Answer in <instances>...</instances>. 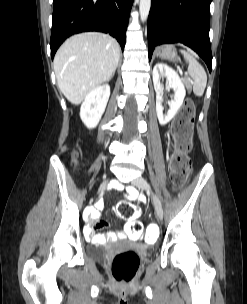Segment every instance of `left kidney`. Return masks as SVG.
<instances>
[{
  "label": "left kidney",
  "mask_w": 247,
  "mask_h": 304,
  "mask_svg": "<svg viewBox=\"0 0 247 304\" xmlns=\"http://www.w3.org/2000/svg\"><path fill=\"white\" fill-rule=\"evenodd\" d=\"M165 76L168 81V87L172 88L175 92L174 99L169 103L170 109L166 115H163L162 95L163 86L160 83V77ZM153 83L156 92V112L159 123L161 125L167 124L177 113L181 105L183 104L184 97L186 95L185 87L179 77V75L169 66L163 63H157L153 68Z\"/></svg>",
  "instance_id": "obj_1"
}]
</instances>
